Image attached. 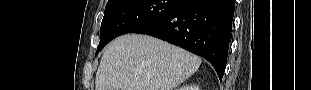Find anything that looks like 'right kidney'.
Listing matches in <instances>:
<instances>
[{
  "label": "right kidney",
  "mask_w": 311,
  "mask_h": 90,
  "mask_svg": "<svg viewBox=\"0 0 311 90\" xmlns=\"http://www.w3.org/2000/svg\"><path fill=\"white\" fill-rule=\"evenodd\" d=\"M179 90H199V88L197 86H183Z\"/></svg>",
  "instance_id": "right-kidney-1"
}]
</instances>
